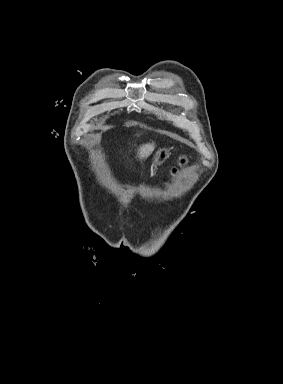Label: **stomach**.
I'll list each match as a JSON object with an SVG mask.
<instances>
[{
    "instance_id": "0dacf381",
    "label": "stomach",
    "mask_w": 283,
    "mask_h": 384,
    "mask_svg": "<svg viewBox=\"0 0 283 384\" xmlns=\"http://www.w3.org/2000/svg\"><path fill=\"white\" fill-rule=\"evenodd\" d=\"M170 152L167 150V148H160V150H157L156 154L153 156L152 164L153 166H161V164H164L166 162L167 158H169Z\"/></svg>"
}]
</instances>
